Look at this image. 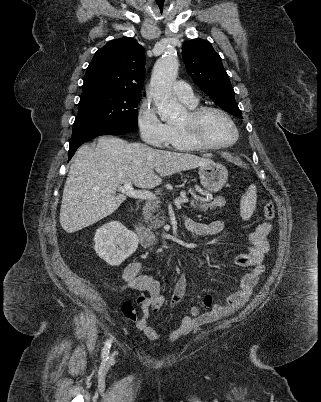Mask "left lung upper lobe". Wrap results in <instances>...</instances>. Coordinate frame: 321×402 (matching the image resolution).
I'll use <instances>...</instances> for the list:
<instances>
[{"mask_svg": "<svg viewBox=\"0 0 321 402\" xmlns=\"http://www.w3.org/2000/svg\"><path fill=\"white\" fill-rule=\"evenodd\" d=\"M182 56L187 72L200 89L222 109L242 118L229 77L212 45L201 39L187 41Z\"/></svg>", "mask_w": 321, "mask_h": 402, "instance_id": "5c2ea615", "label": "left lung upper lobe"}]
</instances>
